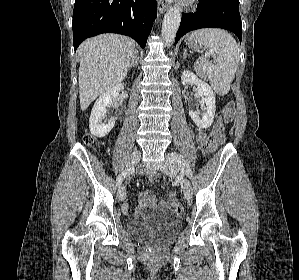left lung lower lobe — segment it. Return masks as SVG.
Listing matches in <instances>:
<instances>
[{
    "label": "left lung lower lobe",
    "instance_id": "obj_1",
    "mask_svg": "<svg viewBox=\"0 0 299 280\" xmlns=\"http://www.w3.org/2000/svg\"><path fill=\"white\" fill-rule=\"evenodd\" d=\"M200 28H221L234 32L242 40L239 0H199L195 13H184L176 34V43L187 32Z\"/></svg>",
    "mask_w": 299,
    "mask_h": 280
}]
</instances>
